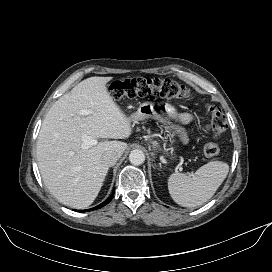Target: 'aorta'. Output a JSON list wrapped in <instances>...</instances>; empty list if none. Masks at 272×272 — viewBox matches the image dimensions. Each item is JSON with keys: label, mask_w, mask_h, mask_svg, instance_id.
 <instances>
[{"label": "aorta", "mask_w": 272, "mask_h": 272, "mask_svg": "<svg viewBox=\"0 0 272 272\" xmlns=\"http://www.w3.org/2000/svg\"><path fill=\"white\" fill-rule=\"evenodd\" d=\"M129 160L133 165H141L145 161V154L138 149L132 150L129 154Z\"/></svg>", "instance_id": "762f6f07"}]
</instances>
